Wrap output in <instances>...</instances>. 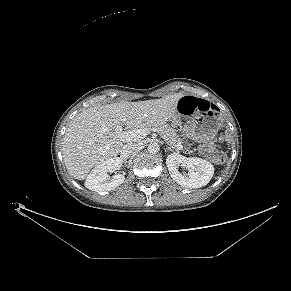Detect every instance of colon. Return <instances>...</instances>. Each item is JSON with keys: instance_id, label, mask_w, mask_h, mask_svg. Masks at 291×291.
I'll list each match as a JSON object with an SVG mask.
<instances>
[{"instance_id": "obj_1", "label": "colon", "mask_w": 291, "mask_h": 291, "mask_svg": "<svg viewBox=\"0 0 291 291\" xmlns=\"http://www.w3.org/2000/svg\"><path fill=\"white\" fill-rule=\"evenodd\" d=\"M213 108L210 102L201 99H189L182 97L179 101V109L186 115L193 114L197 111L208 112ZM203 152L215 163L220 164L224 162V158L217 154V141L209 140L202 146Z\"/></svg>"}]
</instances>
